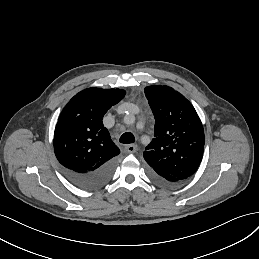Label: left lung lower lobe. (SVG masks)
<instances>
[{"label": "left lung lower lobe", "instance_id": "left-lung-lower-lobe-1", "mask_svg": "<svg viewBox=\"0 0 259 259\" xmlns=\"http://www.w3.org/2000/svg\"><path fill=\"white\" fill-rule=\"evenodd\" d=\"M150 176H151V178H152L155 182H157L158 184H160V185H162V186L172 187V186H177V185L180 184V183H170V182L161 181V180H159L157 177H155L154 175H152L151 173H150Z\"/></svg>", "mask_w": 259, "mask_h": 259}]
</instances>
